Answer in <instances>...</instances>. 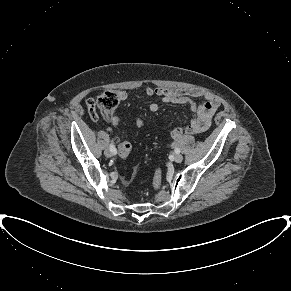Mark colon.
<instances>
[{
	"label": "colon",
	"mask_w": 291,
	"mask_h": 291,
	"mask_svg": "<svg viewBox=\"0 0 291 291\" xmlns=\"http://www.w3.org/2000/svg\"><path fill=\"white\" fill-rule=\"evenodd\" d=\"M120 101L119 93L116 91L108 90L101 93L97 99V104L99 108L105 111H112L115 109ZM138 126L142 125V121L138 120L136 122ZM131 152V144L128 141H123L119 146V158L125 159L129 156ZM161 183V171L157 170L153 178V185L158 188Z\"/></svg>",
	"instance_id": "1"
}]
</instances>
